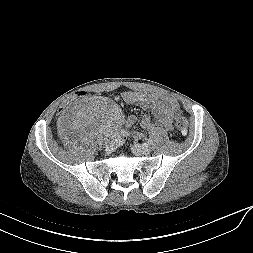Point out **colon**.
Wrapping results in <instances>:
<instances>
[{
  "instance_id": "5ec220e1",
  "label": "colon",
  "mask_w": 253,
  "mask_h": 253,
  "mask_svg": "<svg viewBox=\"0 0 253 253\" xmlns=\"http://www.w3.org/2000/svg\"><path fill=\"white\" fill-rule=\"evenodd\" d=\"M91 97V92L89 90H78L74 93L68 94L65 96L57 106V111L59 113H64L68 106L73 103H76L81 99H89ZM176 129L181 134H186L188 131V121L184 117H179L175 123Z\"/></svg>"
}]
</instances>
